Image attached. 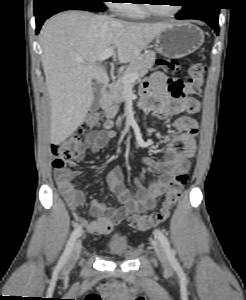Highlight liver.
<instances>
[{"label":"liver","instance_id":"liver-1","mask_svg":"<svg viewBox=\"0 0 246 300\" xmlns=\"http://www.w3.org/2000/svg\"><path fill=\"white\" fill-rule=\"evenodd\" d=\"M167 23H131L83 12H64L40 32L42 66L51 105V143H61L82 124L93 102V83L109 81L97 64L115 48L121 64L132 62ZM82 60L83 63H79Z\"/></svg>","mask_w":246,"mask_h":300}]
</instances>
